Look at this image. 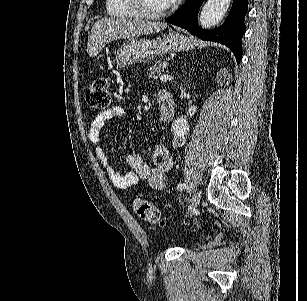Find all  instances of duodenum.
Wrapping results in <instances>:
<instances>
[{
	"mask_svg": "<svg viewBox=\"0 0 307 301\" xmlns=\"http://www.w3.org/2000/svg\"><path fill=\"white\" fill-rule=\"evenodd\" d=\"M161 119L170 121L173 119L176 110V104L173 96L168 92H162L158 98Z\"/></svg>",
	"mask_w": 307,
	"mask_h": 301,
	"instance_id": "obj_1",
	"label": "duodenum"
}]
</instances>
